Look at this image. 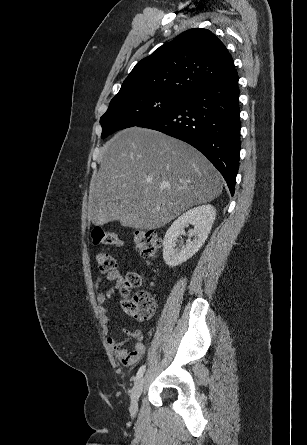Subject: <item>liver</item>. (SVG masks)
Masks as SVG:
<instances>
[{"instance_id": "1", "label": "liver", "mask_w": 307, "mask_h": 445, "mask_svg": "<svg viewBox=\"0 0 307 445\" xmlns=\"http://www.w3.org/2000/svg\"><path fill=\"white\" fill-rule=\"evenodd\" d=\"M100 150L88 200V216L99 227L119 220L122 227L160 229L222 192L221 176L202 152L159 130L124 128Z\"/></svg>"}]
</instances>
